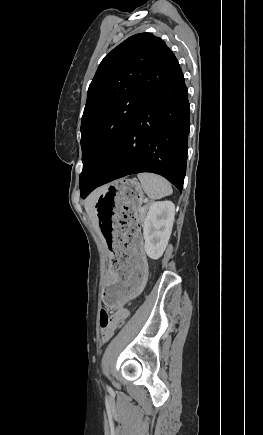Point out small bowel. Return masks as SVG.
I'll use <instances>...</instances> for the list:
<instances>
[{
    "instance_id": "1",
    "label": "small bowel",
    "mask_w": 263,
    "mask_h": 435,
    "mask_svg": "<svg viewBox=\"0 0 263 435\" xmlns=\"http://www.w3.org/2000/svg\"><path fill=\"white\" fill-rule=\"evenodd\" d=\"M122 306L123 305H119L118 310L114 315L115 321H124L129 315L128 310L123 308ZM115 321H105L104 323L105 330H115L116 328Z\"/></svg>"
}]
</instances>
